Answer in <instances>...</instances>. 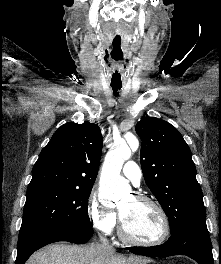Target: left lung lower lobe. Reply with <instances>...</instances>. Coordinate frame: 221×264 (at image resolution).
I'll use <instances>...</instances> for the list:
<instances>
[{
    "mask_svg": "<svg viewBox=\"0 0 221 264\" xmlns=\"http://www.w3.org/2000/svg\"><path fill=\"white\" fill-rule=\"evenodd\" d=\"M128 250L134 254L150 257L186 255L199 264H214L207 227L177 230L171 233V237L162 245L130 247Z\"/></svg>",
    "mask_w": 221,
    "mask_h": 264,
    "instance_id": "obj_1",
    "label": "left lung lower lobe"
}]
</instances>
